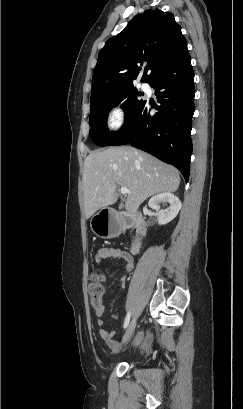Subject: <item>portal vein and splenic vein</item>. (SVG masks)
I'll use <instances>...</instances> for the list:
<instances>
[{"label": "portal vein and splenic vein", "mask_w": 243, "mask_h": 409, "mask_svg": "<svg viewBox=\"0 0 243 409\" xmlns=\"http://www.w3.org/2000/svg\"><path fill=\"white\" fill-rule=\"evenodd\" d=\"M120 192L123 195L130 194L131 192L126 187H121Z\"/></svg>", "instance_id": "1"}]
</instances>
